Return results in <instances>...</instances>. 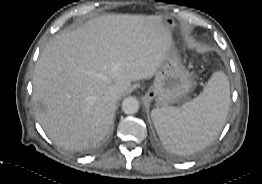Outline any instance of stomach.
Here are the masks:
<instances>
[{
    "label": "stomach",
    "mask_w": 262,
    "mask_h": 184,
    "mask_svg": "<svg viewBox=\"0 0 262 184\" xmlns=\"http://www.w3.org/2000/svg\"><path fill=\"white\" fill-rule=\"evenodd\" d=\"M163 22L171 31L175 27L173 18H163ZM194 81L190 73L181 63L174 48H171L166 59L158 68L153 85L148 93L157 106H167L185 101L193 90Z\"/></svg>",
    "instance_id": "1"
}]
</instances>
